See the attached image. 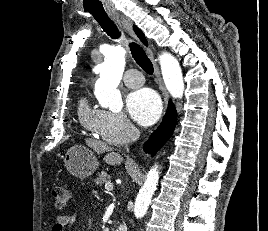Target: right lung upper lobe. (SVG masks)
<instances>
[{
    "label": "right lung upper lobe",
    "instance_id": "obj_1",
    "mask_svg": "<svg viewBox=\"0 0 268 231\" xmlns=\"http://www.w3.org/2000/svg\"><path fill=\"white\" fill-rule=\"evenodd\" d=\"M134 31L138 35V37L140 38V40L147 46L148 45L147 44V40L144 37L142 31L139 28L135 27V26H134Z\"/></svg>",
    "mask_w": 268,
    "mask_h": 231
}]
</instances>
